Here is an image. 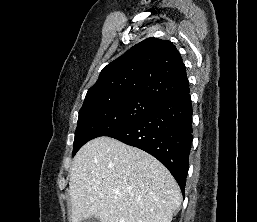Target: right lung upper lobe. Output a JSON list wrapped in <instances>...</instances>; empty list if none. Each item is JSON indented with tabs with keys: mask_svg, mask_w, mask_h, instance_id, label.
<instances>
[{
	"mask_svg": "<svg viewBox=\"0 0 257 222\" xmlns=\"http://www.w3.org/2000/svg\"><path fill=\"white\" fill-rule=\"evenodd\" d=\"M188 91L185 65L176 47L168 40L150 37L104 67L84 103L98 98L131 97L160 103Z\"/></svg>",
	"mask_w": 257,
	"mask_h": 222,
	"instance_id": "obj_1",
	"label": "right lung upper lobe"
}]
</instances>
